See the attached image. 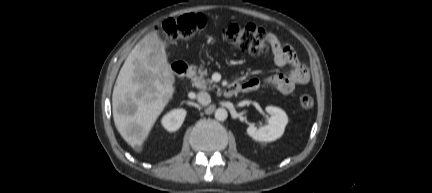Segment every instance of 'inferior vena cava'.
<instances>
[{"instance_id": "602c4592", "label": "inferior vena cava", "mask_w": 432, "mask_h": 193, "mask_svg": "<svg viewBox=\"0 0 432 193\" xmlns=\"http://www.w3.org/2000/svg\"><path fill=\"white\" fill-rule=\"evenodd\" d=\"M197 100L200 104L206 106L210 104L211 97L207 92L201 91L197 94Z\"/></svg>"}]
</instances>
